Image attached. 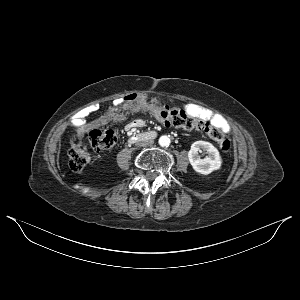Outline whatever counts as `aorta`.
Returning a JSON list of instances; mask_svg holds the SVG:
<instances>
[{
    "label": "aorta",
    "mask_w": 300,
    "mask_h": 300,
    "mask_svg": "<svg viewBox=\"0 0 300 300\" xmlns=\"http://www.w3.org/2000/svg\"><path fill=\"white\" fill-rule=\"evenodd\" d=\"M170 138L166 135H163L159 138V145L162 147H168L170 145Z\"/></svg>",
    "instance_id": "762f6f07"
}]
</instances>
